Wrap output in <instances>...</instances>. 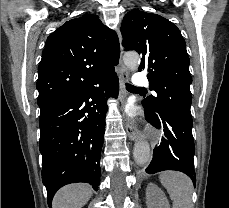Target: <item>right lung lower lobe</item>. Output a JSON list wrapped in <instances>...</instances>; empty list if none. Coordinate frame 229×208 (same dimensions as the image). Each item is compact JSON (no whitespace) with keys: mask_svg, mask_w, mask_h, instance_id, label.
<instances>
[{"mask_svg":"<svg viewBox=\"0 0 229 208\" xmlns=\"http://www.w3.org/2000/svg\"><path fill=\"white\" fill-rule=\"evenodd\" d=\"M118 87L113 73L40 116L42 181L50 208L54 194L66 184L87 182L98 191L106 102L117 97Z\"/></svg>","mask_w":229,"mask_h":208,"instance_id":"1","label":"right lung lower lobe"}]
</instances>
